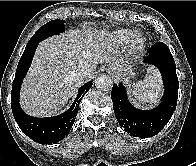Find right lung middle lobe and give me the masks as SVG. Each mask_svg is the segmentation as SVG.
Listing matches in <instances>:
<instances>
[{
	"label": "right lung middle lobe",
	"instance_id": "right-lung-middle-lobe-1",
	"mask_svg": "<svg viewBox=\"0 0 196 166\" xmlns=\"http://www.w3.org/2000/svg\"><path fill=\"white\" fill-rule=\"evenodd\" d=\"M65 29L63 20H52L40 27L27 45L39 43L47 37L57 35Z\"/></svg>",
	"mask_w": 196,
	"mask_h": 166
}]
</instances>
